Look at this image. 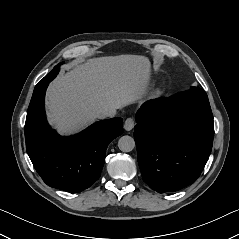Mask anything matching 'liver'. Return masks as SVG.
Here are the masks:
<instances>
[{
  "instance_id": "1",
  "label": "liver",
  "mask_w": 239,
  "mask_h": 239,
  "mask_svg": "<svg viewBox=\"0 0 239 239\" xmlns=\"http://www.w3.org/2000/svg\"><path fill=\"white\" fill-rule=\"evenodd\" d=\"M149 61L138 55L99 57L54 80L47 91V116L61 134L91 124L98 113L140 99L150 77Z\"/></svg>"
}]
</instances>
